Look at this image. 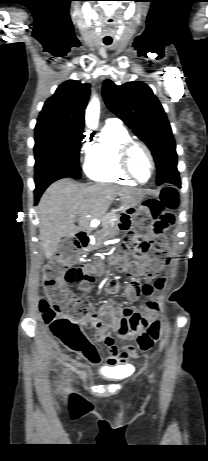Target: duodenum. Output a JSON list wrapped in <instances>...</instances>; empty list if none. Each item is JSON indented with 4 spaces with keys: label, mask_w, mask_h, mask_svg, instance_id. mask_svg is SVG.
Listing matches in <instances>:
<instances>
[{
    "label": "duodenum",
    "mask_w": 208,
    "mask_h": 461,
    "mask_svg": "<svg viewBox=\"0 0 208 461\" xmlns=\"http://www.w3.org/2000/svg\"><path fill=\"white\" fill-rule=\"evenodd\" d=\"M88 237H89V233L88 232H83V233H81L80 239L86 240L87 243H88V239H87Z\"/></svg>",
    "instance_id": "duodenum-1"
}]
</instances>
